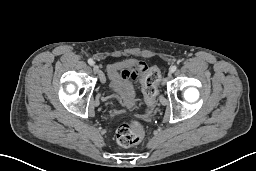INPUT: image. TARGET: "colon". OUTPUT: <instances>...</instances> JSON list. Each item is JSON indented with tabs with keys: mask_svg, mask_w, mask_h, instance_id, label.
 Instances as JSON below:
<instances>
[{
	"mask_svg": "<svg viewBox=\"0 0 256 171\" xmlns=\"http://www.w3.org/2000/svg\"><path fill=\"white\" fill-rule=\"evenodd\" d=\"M160 72L157 68L148 69L143 77V96L147 104L152 105L157 95V84ZM145 128L138 121L125 122L116 130V141L120 146L129 147L136 145L145 138Z\"/></svg>",
	"mask_w": 256,
	"mask_h": 171,
	"instance_id": "1",
	"label": "colon"
}]
</instances>
